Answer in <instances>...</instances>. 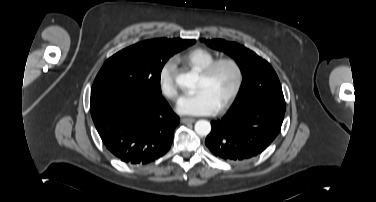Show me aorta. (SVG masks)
Instances as JSON below:
<instances>
[{
  "label": "aorta",
  "mask_w": 376,
  "mask_h": 202,
  "mask_svg": "<svg viewBox=\"0 0 376 202\" xmlns=\"http://www.w3.org/2000/svg\"><path fill=\"white\" fill-rule=\"evenodd\" d=\"M197 80L198 75L194 72L181 73L176 77V83L182 89L193 88ZM195 131L200 136H207L211 131L210 122L207 120H198L195 123Z\"/></svg>",
  "instance_id": "762f6f07"
}]
</instances>
